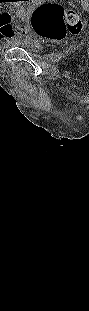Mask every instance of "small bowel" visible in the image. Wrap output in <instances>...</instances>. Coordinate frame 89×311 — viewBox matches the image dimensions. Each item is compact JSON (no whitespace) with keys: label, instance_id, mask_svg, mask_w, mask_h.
<instances>
[{"label":"small bowel","instance_id":"c3829d8e","mask_svg":"<svg viewBox=\"0 0 89 311\" xmlns=\"http://www.w3.org/2000/svg\"><path fill=\"white\" fill-rule=\"evenodd\" d=\"M4 32H2V37H3V41L6 45L11 44L13 42H15L16 38H15V33L13 29H9L8 25L5 24L4 25Z\"/></svg>","mask_w":89,"mask_h":311}]
</instances>
